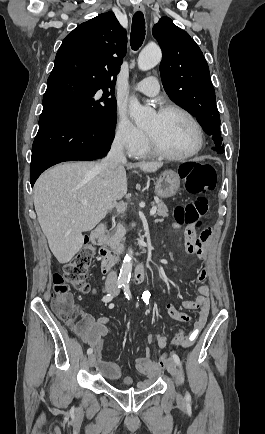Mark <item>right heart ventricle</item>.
I'll return each mask as SVG.
<instances>
[{
  "mask_svg": "<svg viewBox=\"0 0 265 434\" xmlns=\"http://www.w3.org/2000/svg\"><path fill=\"white\" fill-rule=\"evenodd\" d=\"M136 158H147L150 156V150L146 147L145 151H141L140 154H133Z\"/></svg>",
  "mask_w": 265,
  "mask_h": 434,
  "instance_id": "right-heart-ventricle-1",
  "label": "right heart ventricle"
}]
</instances>
